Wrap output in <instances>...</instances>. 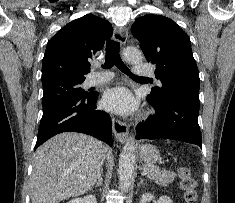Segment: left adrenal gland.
<instances>
[{
	"mask_svg": "<svg viewBox=\"0 0 235 203\" xmlns=\"http://www.w3.org/2000/svg\"><path fill=\"white\" fill-rule=\"evenodd\" d=\"M143 184H145L144 180H143V178H140V182L138 183V186L143 185Z\"/></svg>",
	"mask_w": 235,
	"mask_h": 203,
	"instance_id": "left-adrenal-gland-1",
	"label": "left adrenal gland"
}]
</instances>
